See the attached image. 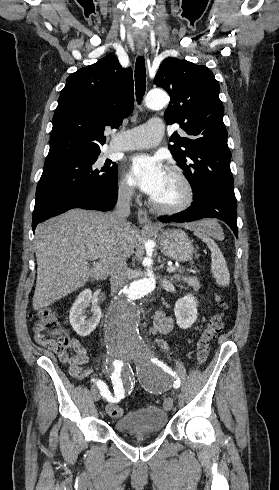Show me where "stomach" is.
<instances>
[{"instance_id":"obj_1","label":"stomach","mask_w":279,"mask_h":490,"mask_svg":"<svg viewBox=\"0 0 279 490\" xmlns=\"http://www.w3.org/2000/svg\"><path fill=\"white\" fill-rule=\"evenodd\" d=\"M159 226L163 228L162 224ZM152 234H158V232H152ZM159 244L164 256L176 262H190L195 254L193 242L183 230H163L159 236Z\"/></svg>"}]
</instances>
